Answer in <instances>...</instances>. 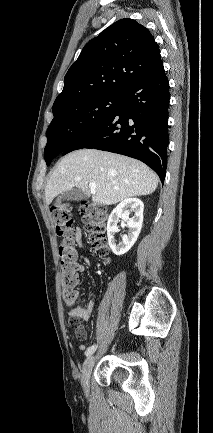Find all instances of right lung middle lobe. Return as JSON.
Instances as JSON below:
<instances>
[{"label": "right lung middle lobe", "mask_w": 213, "mask_h": 433, "mask_svg": "<svg viewBox=\"0 0 213 433\" xmlns=\"http://www.w3.org/2000/svg\"><path fill=\"white\" fill-rule=\"evenodd\" d=\"M120 98L121 95H98L53 112L54 118L47 129V166L58 154L102 124L116 109Z\"/></svg>", "instance_id": "obj_1"}]
</instances>
